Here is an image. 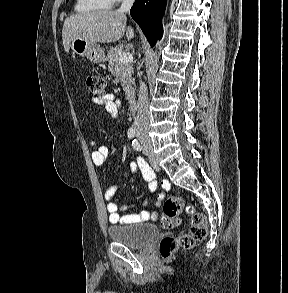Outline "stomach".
<instances>
[{
  "label": "stomach",
  "instance_id": "obj_1",
  "mask_svg": "<svg viewBox=\"0 0 288 293\" xmlns=\"http://www.w3.org/2000/svg\"><path fill=\"white\" fill-rule=\"evenodd\" d=\"M70 47L74 55L85 56L92 63H100L107 60L103 48L98 43L78 37L73 39Z\"/></svg>",
  "mask_w": 288,
  "mask_h": 293
}]
</instances>
